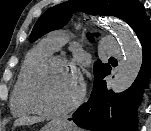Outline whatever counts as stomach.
Returning a JSON list of instances; mask_svg holds the SVG:
<instances>
[{"label": "stomach", "mask_w": 151, "mask_h": 131, "mask_svg": "<svg viewBox=\"0 0 151 131\" xmlns=\"http://www.w3.org/2000/svg\"><path fill=\"white\" fill-rule=\"evenodd\" d=\"M41 131H78L77 128L69 121L55 119L44 126Z\"/></svg>", "instance_id": "0dacf381"}]
</instances>
